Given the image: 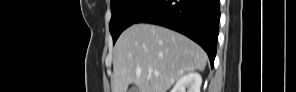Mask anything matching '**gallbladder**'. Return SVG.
Segmentation results:
<instances>
[{"instance_id": "obj_1", "label": "gallbladder", "mask_w": 296, "mask_h": 92, "mask_svg": "<svg viewBox=\"0 0 296 92\" xmlns=\"http://www.w3.org/2000/svg\"><path fill=\"white\" fill-rule=\"evenodd\" d=\"M128 92H138V88L137 87H132L128 90Z\"/></svg>"}]
</instances>
